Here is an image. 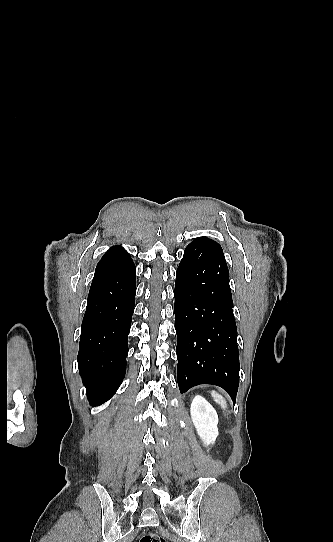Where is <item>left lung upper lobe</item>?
Returning <instances> with one entry per match:
<instances>
[{"instance_id": "obj_1", "label": "left lung upper lobe", "mask_w": 333, "mask_h": 542, "mask_svg": "<svg viewBox=\"0 0 333 542\" xmlns=\"http://www.w3.org/2000/svg\"><path fill=\"white\" fill-rule=\"evenodd\" d=\"M201 238H205V239H207V240H210V241H212V242H215V241H213V240H211V239H208V238H206V237H201ZM215 243H216V242H215ZM217 244H218V243H217Z\"/></svg>"}]
</instances>
